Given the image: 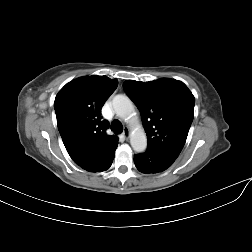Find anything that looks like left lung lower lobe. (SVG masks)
<instances>
[{
  "label": "left lung lower lobe",
  "mask_w": 252,
  "mask_h": 252,
  "mask_svg": "<svg viewBox=\"0 0 252 252\" xmlns=\"http://www.w3.org/2000/svg\"><path fill=\"white\" fill-rule=\"evenodd\" d=\"M175 159L163 151L147 148L144 153L134 156V163L140 172L153 174L163 172L169 168Z\"/></svg>",
  "instance_id": "0a47b994"
}]
</instances>
